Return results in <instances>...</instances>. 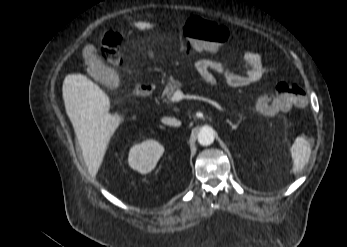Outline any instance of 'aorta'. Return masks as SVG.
Masks as SVG:
<instances>
[{"mask_svg":"<svg viewBox=\"0 0 347 247\" xmlns=\"http://www.w3.org/2000/svg\"><path fill=\"white\" fill-rule=\"evenodd\" d=\"M215 133L211 127H203L198 133V142L203 146H208L214 142Z\"/></svg>","mask_w":347,"mask_h":247,"instance_id":"1","label":"aorta"}]
</instances>
